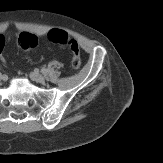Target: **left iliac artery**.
<instances>
[{
  "label": "left iliac artery",
  "instance_id": "1",
  "mask_svg": "<svg viewBox=\"0 0 163 163\" xmlns=\"http://www.w3.org/2000/svg\"><path fill=\"white\" fill-rule=\"evenodd\" d=\"M41 72H42L44 75H47V74H48V71H47L45 68H42V69H41Z\"/></svg>",
  "mask_w": 163,
  "mask_h": 163
}]
</instances>
